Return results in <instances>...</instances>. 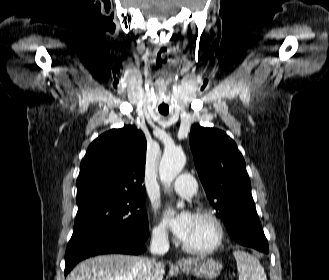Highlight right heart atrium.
<instances>
[{"mask_svg": "<svg viewBox=\"0 0 329 280\" xmlns=\"http://www.w3.org/2000/svg\"><path fill=\"white\" fill-rule=\"evenodd\" d=\"M153 239L158 243H165L168 240V231L164 224L156 223L152 230Z\"/></svg>", "mask_w": 329, "mask_h": 280, "instance_id": "d8ad5b80", "label": "right heart atrium"}]
</instances>
